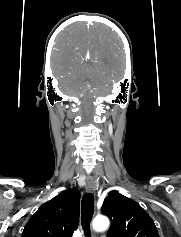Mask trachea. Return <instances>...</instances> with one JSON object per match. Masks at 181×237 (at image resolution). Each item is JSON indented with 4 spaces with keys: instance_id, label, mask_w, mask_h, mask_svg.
Masks as SVG:
<instances>
[{
    "instance_id": "1",
    "label": "trachea",
    "mask_w": 181,
    "mask_h": 237,
    "mask_svg": "<svg viewBox=\"0 0 181 237\" xmlns=\"http://www.w3.org/2000/svg\"><path fill=\"white\" fill-rule=\"evenodd\" d=\"M94 214V197L90 193L84 194L81 201V223L86 237L91 236L90 222Z\"/></svg>"
}]
</instances>
